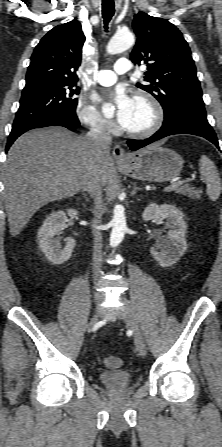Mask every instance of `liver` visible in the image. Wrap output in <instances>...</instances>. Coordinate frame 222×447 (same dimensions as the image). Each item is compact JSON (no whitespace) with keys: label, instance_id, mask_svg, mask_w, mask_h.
Returning <instances> with one entry per match:
<instances>
[{"label":"liver","instance_id":"obj_1","mask_svg":"<svg viewBox=\"0 0 222 447\" xmlns=\"http://www.w3.org/2000/svg\"><path fill=\"white\" fill-rule=\"evenodd\" d=\"M109 154L97 159L87 137L63 127L29 131L8 151L3 169L10 234L15 237L44 205L76 195L96 171L102 185L110 175Z\"/></svg>","mask_w":222,"mask_h":447}]
</instances>
